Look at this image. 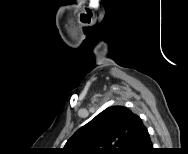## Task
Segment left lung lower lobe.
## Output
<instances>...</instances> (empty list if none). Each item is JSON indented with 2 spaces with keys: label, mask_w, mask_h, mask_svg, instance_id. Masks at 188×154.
Listing matches in <instances>:
<instances>
[{
  "label": "left lung lower lobe",
  "mask_w": 188,
  "mask_h": 154,
  "mask_svg": "<svg viewBox=\"0 0 188 154\" xmlns=\"http://www.w3.org/2000/svg\"><path fill=\"white\" fill-rule=\"evenodd\" d=\"M152 143L149 133L139 116L134 118L133 134L129 144L127 154H149Z\"/></svg>",
  "instance_id": "0a47b994"
}]
</instances>
